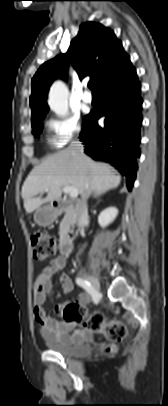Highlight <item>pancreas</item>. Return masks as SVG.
<instances>
[{
	"label": "pancreas",
	"mask_w": 168,
	"mask_h": 406,
	"mask_svg": "<svg viewBox=\"0 0 168 406\" xmlns=\"http://www.w3.org/2000/svg\"><path fill=\"white\" fill-rule=\"evenodd\" d=\"M74 219V213L72 210H67L65 216L59 227V234L63 235L66 230L69 229L71 222Z\"/></svg>",
	"instance_id": "pancreas-1"
}]
</instances>
